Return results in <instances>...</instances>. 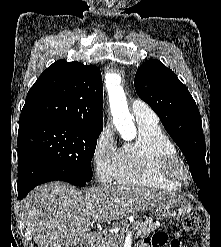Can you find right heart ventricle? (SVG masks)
<instances>
[{"mask_svg": "<svg viewBox=\"0 0 221 247\" xmlns=\"http://www.w3.org/2000/svg\"><path fill=\"white\" fill-rule=\"evenodd\" d=\"M178 155L171 139L158 123H138V135L124 143L118 153L115 179L121 185L177 190L180 184L164 177L158 168L161 156Z\"/></svg>", "mask_w": 221, "mask_h": 247, "instance_id": "right-heart-ventricle-1", "label": "right heart ventricle"}]
</instances>
